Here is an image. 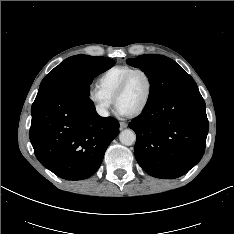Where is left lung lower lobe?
<instances>
[{
  "instance_id": "obj_1",
  "label": "left lung lower lobe",
  "mask_w": 234,
  "mask_h": 234,
  "mask_svg": "<svg viewBox=\"0 0 234 234\" xmlns=\"http://www.w3.org/2000/svg\"><path fill=\"white\" fill-rule=\"evenodd\" d=\"M136 133L134 153L149 175L172 179L202 158L209 124L195 81L181 85L129 123Z\"/></svg>"
}]
</instances>
